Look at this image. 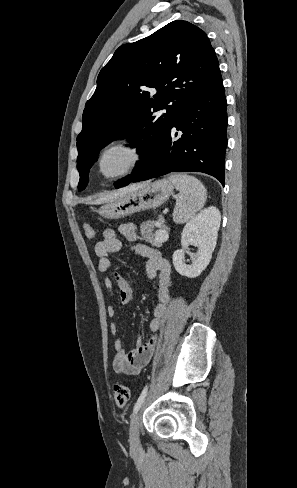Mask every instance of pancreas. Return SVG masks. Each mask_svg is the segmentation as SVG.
Wrapping results in <instances>:
<instances>
[{"label":"pancreas","instance_id":"cf45deb5","mask_svg":"<svg viewBox=\"0 0 297 488\" xmlns=\"http://www.w3.org/2000/svg\"><path fill=\"white\" fill-rule=\"evenodd\" d=\"M158 222L162 225L163 228H165V225H164V218L160 217ZM153 224H155L154 221H147L146 223H144V225H148V226H152ZM144 229V228H143ZM147 239L149 242L155 244V245H159V242L156 241V234H152L151 231L148 232V235H147Z\"/></svg>","mask_w":297,"mask_h":488}]
</instances>
